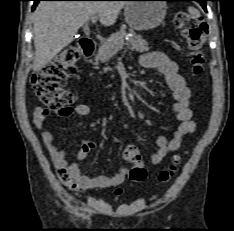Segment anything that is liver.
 Wrapping results in <instances>:
<instances>
[{
    "instance_id": "liver-1",
    "label": "liver",
    "mask_w": 234,
    "mask_h": 231,
    "mask_svg": "<svg viewBox=\"0 0 234 231\" xmlns=\"http://www.w3.org/2000/svg\"><path fill=\"white\" fill-rule=\"evenodd\" d=\"M124 1H42L34 12V71L41 70L75 39L79 28L98 15L104 26L113 25Z\"/></svg>"
}]
</instances>
